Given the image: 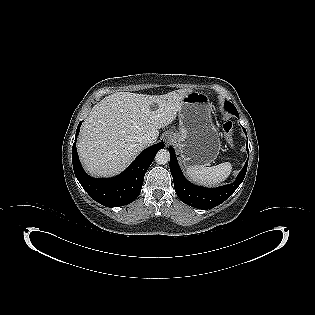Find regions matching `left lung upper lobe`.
Listing matches in <instances>:
<instances>
[{
  "instance_id": "5c2ea615",
  "label": "left lung upper lobe",
  "mask_w": 315,
  "mask_h": 315,
  "mask_svg": "<svg viewBox=\"0 0 315 315\" xmlns=\"http://www.w3.org/2000/svg\"><path fill=\"white\" fill-rule=\"evenodd\" d=\"M225 107H226V110L229 111L230 113H232L234 115L238 114L235 106L231 102L226 101Z\"/></svg>"
}]
</instances>
